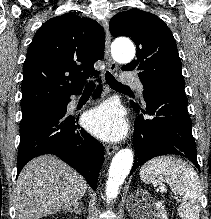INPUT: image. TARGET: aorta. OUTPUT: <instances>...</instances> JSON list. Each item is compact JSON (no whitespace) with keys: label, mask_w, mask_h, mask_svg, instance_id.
I'll return each instance as SVG.
<instances>
[{"label":"aorta","mask_w":211,"mask_h":219,"mask_svg":"<svg viewBox=\"0 0 211 219\" xmlns=\"http://www.w3.org/2000/svg\"><path fill=\"white\" fill-rule=\"evenodd\" d=\"M113 58L119 63H129L135 56V47L129 40L117 42L112 50ZM133 164V152L131 149H121L113 158L109 177L106 182V196L116 198L119 187L129 174Z\"/></svg>","instance_id":"762f6f07"}]
</instances>
